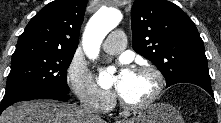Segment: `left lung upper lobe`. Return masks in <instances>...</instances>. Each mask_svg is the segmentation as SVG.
I'll return each mask as SVG.
<instances>
[{
  "mask_svg": "<svg viewBox=\"0 0 221 123\" xmlns=\"http://www.w3.org/2000/svg\"><path fill=\"white\" fill-rule=\"evenodd\" d=\"M133 49L150 60L167 85L185 78L211 81L204 44L194 22L167 0H135Z\"/></svg>",
  "mask_w": 221,
  "mask_h": 123,
  "instance_id": "obj_1",
  "label": "left lung upper lobe"
}]
</instances>
